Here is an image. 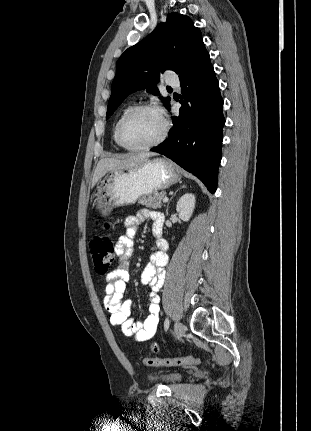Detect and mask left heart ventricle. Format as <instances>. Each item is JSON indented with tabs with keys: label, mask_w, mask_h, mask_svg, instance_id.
<instances>
[{
	"label": "left heart ventricle",
	"mask_w": 311,
	"mask_h": 431,
	"mask_svg": "<svg viewBox=\"0 0 311 431\" xmlns=\"http://www.w3.org/2000/svg\"><path fill=\"white\" fill-rule=\"evenodd\" d=\"M163 130L160 113L155 110H144L130 118L124 127L128 144L141 146L155 140Z\"/></svg>",
	"instance_id": "b2bd125f"
}]
</instances>
